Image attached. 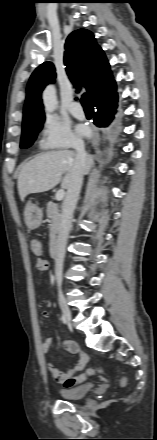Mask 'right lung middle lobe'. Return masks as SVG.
Returning <instances> with one entry per match:
<instances>
[{
    "label": "right lung middle lobe",
    "mask_w": 157,
    "mask_h": 440,
    "mask_svg": "<svg viewBox=\"0 0 157 440\" xmlns=\"http://www.w3.org/2000/svg\"><path fill=\"white\" fill-rule=\"evenodd\" d=\"M42 126H43V122L33 123L23 126L20 147L28 148L29 146H31L34 140L36 139V136L42 129Z\"/></svg>",
    "instance_id": "dd1d6c3e"
}]
</instances>
